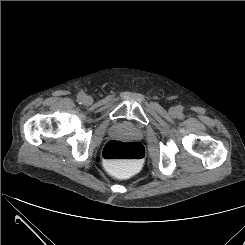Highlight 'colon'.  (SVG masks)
I'll return each mask as SVG.
<instances>
[{
    "label": "colon",
    "mask_w": 245,
    "mask_h": 245,
    "mask_svg": "<svg viewBox=\"0 0 245 245\" xmlns=\"http://www.w3.org/2000/svg\"><path fill=\"white\" fill-rule=\"evenodd\" d=\"M104 164L118 174L138 169L145 157V151L139 142L112 140L106 143L102 151Z\"/></svg>",
    "instance_id": "colon-1"
}]
</instances>
